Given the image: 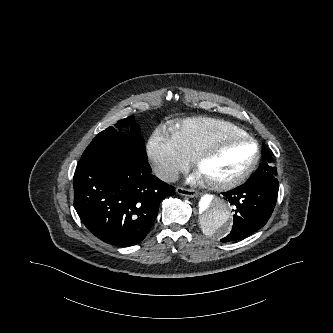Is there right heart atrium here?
<instances>
[{"label": "right heart atrium", "mask_w": 333, "mask_h": 333, "mask_svg": "<svg viewBox=\"0 0 333 333\" xmlns=\"http://www.w3.org/2000/svg\"><path fill=\"white\" fill-rule=\"evenodd\" d=\"M146 155L154 173L166 182L173 181L190 164V159L180 150L172 135L162 129L155 130L150 136Z\"/></svg>", "instance_id": "1"}]
</instances>
